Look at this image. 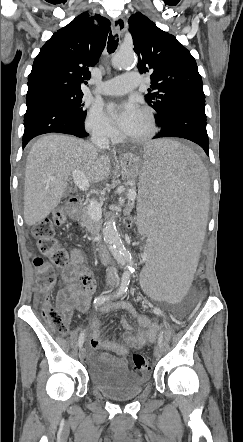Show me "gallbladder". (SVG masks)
I'll return each mask as SVG.
<instances>
[{
  "label": "gallbladder",
  "instance_id": "obj_1",
  "mask_svg": "<svg viewBox=\"0 0 243 442\" xmlns=\"http://www.w3.org/2000/svg\"><path fill=\"white\" fill-rule=\"evenodd\" d=\"M71 191H72V189H71V188H68L67 191H66V193H65V196H67V195L69 194V192H71Z\"/></svg>",
  "mask_w": 243,
  "mask_h": 442
}]
</instances>
